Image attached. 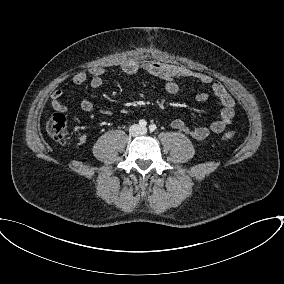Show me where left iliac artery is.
Returning <instances> with one entry per match:
<instances>
[{
    "label": "left iliac artery",
    "instance_id": "1",
    "mask_svg": "<svg viewBox=\"0 0 284 284\" xmlns=\"http://www.w3.org/2000/svg\"><path fill=\"white\" fill-rule=\"evenodd\" d=\"M156 125L155 124H151L150 126H149V130H150V132H153V131H155L156 130Z\"/></svg>",
    "mask_w": 284,
    "mask_h": 284
}]
</instances>
